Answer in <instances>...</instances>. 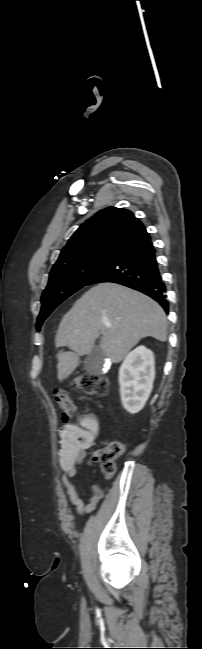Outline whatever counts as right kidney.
<instances>
[{"label":"right kidney","mask_w":202,"mask_h":649,"mask_svg":"<svg viewBox=\"0 0 202 649\" xmlns=\"http://www.w3.org/2000/svg\"><path fill=\"white\" fill-rule=\"evenodd\" d=\"M154 354L144 346L132 350L119 368L120 396L123 407L135 414L145 405L155 378Z\"/></svg>","instance_id":"ca27d5eb"}]
</instances>
